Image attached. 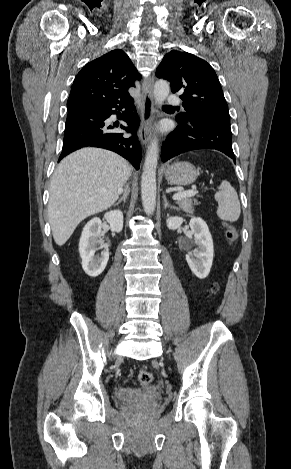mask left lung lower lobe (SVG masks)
Returning <instances> with one entry per match:
<instances>
[{"mask_svg": "<svg viewBox=\"0 0 291 469\" xmlns=\"http://www.w3.org/2000/svg\"><path fill=\"white\" fill-rule=\"evenodd\" d=\"M216 149L235 161L229 124L195 117L179 124L162 146V161L195 149Z\"/></svg>", "mask_w": 291, "mask_h": 469, "instance_id": "left-lung-lower-lobe-1", "label": "left lung lower lobe"}]
</instances>
